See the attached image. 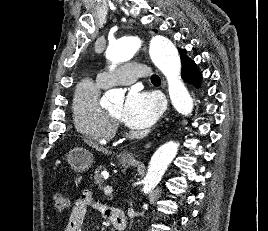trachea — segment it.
<instances>
[{"label":"trachea","instance_id":"obj_1","mask_svg":"<svg viewBox=\"0 0 268 231\" xmlns=\"http://www.w3.org/2000/svg\"><path fill=\"white\" fill-rule=\"evenodd\" d=\"M151 81H152V82H160V77H159L158 75H153V76L151 77Z\"/></svg>","mask_w":268,"mask_h":231}]
</instances>
